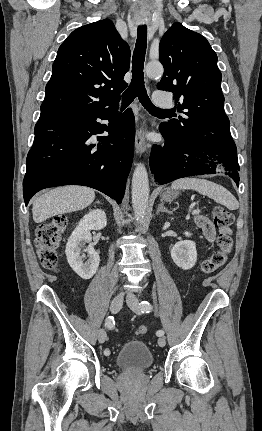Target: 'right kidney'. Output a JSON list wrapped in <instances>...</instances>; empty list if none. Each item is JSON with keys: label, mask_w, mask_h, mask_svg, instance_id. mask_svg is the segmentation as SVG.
Listing matches in <instances>:
<instances>
[{"label": "right kidney", "mask_w": 262, "mask_h": 431, "mask_svg": "<svg viewBox=\"0 0 262 431\" xmlns=\"http://www.w3.org/2000/svg\"><path fill=\"white\" fill-rule=\"evenodd\" d=\"M107 225L106 214L95 209L86 214L72 232L66 244L65 253L70 267L83 279H90L96 273L100 257L91 243V230H101ZM89 243L88 247L85 244ZM87 261L83 262L86 257Z\"/></svg>", "instance_id": "obj_1"}]
</instances>
